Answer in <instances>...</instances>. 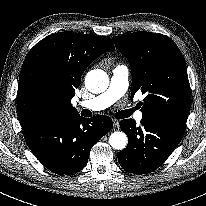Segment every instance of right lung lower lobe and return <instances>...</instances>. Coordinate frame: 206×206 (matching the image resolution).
I'll use <instances>...</instances> for the list:
<instances>
[{"label": "right lung lower lobe", "instance_id": "right-lung-lower-lobe-1", "mask_svg": "<svg viewBox=\"0 0 206 206\" xmlns=\"http://www.w3.org/2000/svg\"><path fill=\"white\" fill-rule=\"evenodd\" d=\"M112 126V120L104 115H76L24 131V138L47 169L59 175L72 174L85 167L92 146Z\"/></svg>", "mask_w": 206, "mask_h": 206}]
</instances>
